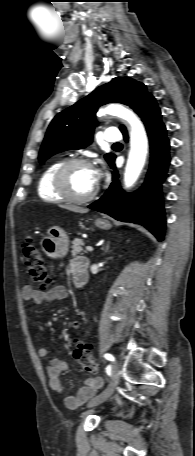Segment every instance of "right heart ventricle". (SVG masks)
Here are the masks:
<instances>
[{
    "instance_id": "obj_1",
    "label": "right heart ventricle",
    "mask_w": 195,
    "mask_h": 456,
    "mask_svg": "<svg viewBox=\"0 0 195 456\" xmlns=\"http://www.w3.org/2000/svg\"><path fill=\"white\" fill-rule=\"evenodd\" d=\"M63 161L57 160L50 163L41 173L38 184L37 191L38 195L46 201L50 202H59L62 201V197L55 191L53 187V175L56 169L60 166Z\"/></svg>"
}]
</instances>
